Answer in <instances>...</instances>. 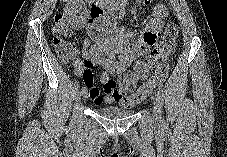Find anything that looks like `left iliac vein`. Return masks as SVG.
<instances>
[{"label":"left iliac vein","mask_w":227,"mask_h":157,"mask_svg":"<svg viewBox=\"0 0 227 157\" xmlns=\"http://www.w3.org/2000/svg\"><path fill=\"white\" fill-rule=\"evenodd\" d=\"M161 102L156 96L153 97V117L156 122H160L162 119L161 115Z\"/></svg>","instance_id":"obj_1"}]
</instances>
